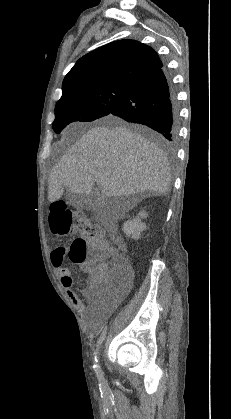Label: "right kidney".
<instances>
[{"label":"right kidney","instance_id":"obj_1","mask_svg":"<svg viewBox=\"0 0 231 419\" xmlns=\"http://www.w3.org/2000/svg\"><path fill=\"white\" fill-rule=\"evenodd\" d=\"M148 214L141 211L136 218L126 221L123 225V231L126 236H131L133 239H139L141 233L146 229V224L141 222V219L146 218Z\"/></svg>","mask_w":231,"mask_h":419}]
</instances>
